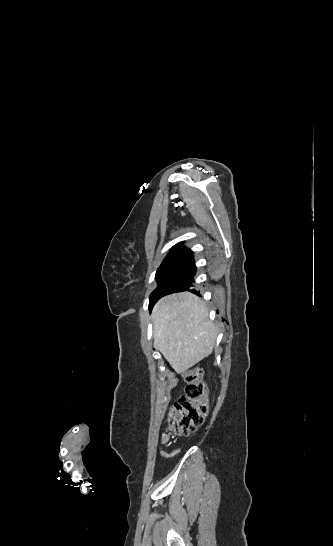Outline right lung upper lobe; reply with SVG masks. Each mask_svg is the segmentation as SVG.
I'll list each match as a JSON object with an SVG mask.
<instances>
[{"instance_id":"right-lung-upper-lobe-1","label":"right lung upper lobe","mask_w":333,"mask_h":546,"mask_svg":"<svg viewBox=\"0 0 333 546\" xmlns=\"http://www.w3.org/2000/svg\"><path fill=\"white\" fill-rule=\"evenodd\" d=\"M172 251L189 252L190 250L185 248L182 243H178L172 248Z\"/></svg>"}]
</instances>
